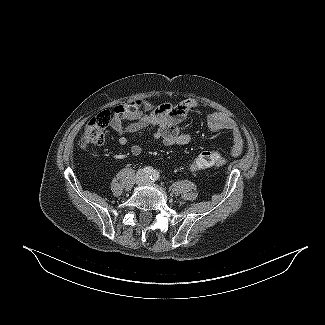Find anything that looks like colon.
<instances>
[{
	"mask_svg": "<svg viewBox=\"0 0 325 325\" xmlns=\"http://www.w3.org/2000/svg\"><path fill=\"white\" fill-rule=\"evenodd\" d=\"M139 102H133L127 105H119L113 111V117L124 118L128 114L138 112ZM112 120V113L104 111L93 117L86 125L82 134L80 144L83 148L101 145L108 136V126ZM221 158L218 152L214 150H205L201 152L194 160L191 168L192 172H197L208 167L217 165Z\"/></svg>",
	"mask_w": 325,
	"mask_h": 325,
	"instance_id": "5ec220e1",
	"label": "colon"
}]
</instances>
